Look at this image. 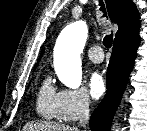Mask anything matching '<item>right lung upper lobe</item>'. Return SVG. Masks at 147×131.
<instances>
[{
	"instance_id": "obj_1",
	"label": "right lung upper lobe",
	"mask_w": 147,
	"mask_h": 131,
	"mask_svg": "<svg viewBox=\"0 0 147 131\" xmlns=\"http://www.w3.org/2000/svg\"><path fill=\"white\" fill-rule=\"evenodd\" d=\"M106 5L110 19L119 27L115 40L139 30V13L131 0H106Z\"/></svg>"
}]
</instances>
